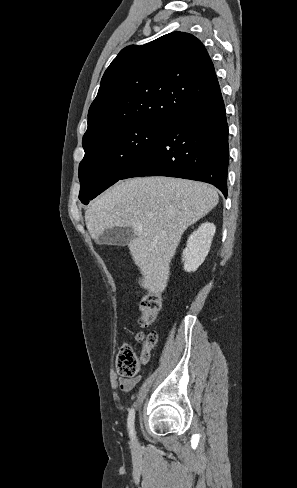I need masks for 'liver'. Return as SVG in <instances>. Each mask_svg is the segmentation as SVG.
<instances>
[{
    "instance_id": "1",
    "label": "liver",
    "mask_w": 297,
    "mask_h": 488,
    "mask_svg": "<svg viewBox=\"0 0 297 488\" xmlns=\"http://www.w3.org/2000/svg\"><path fill=\"white\" fill-rule=\"evenodd\" d=\"M212 186L169 177L120 181L85 212L86 227L98 242L112 227H131L128 247L143 276L141 286L155 295L166 287L169 264L184 231L218 203Z\"/></svg>"
}]
</instances>
